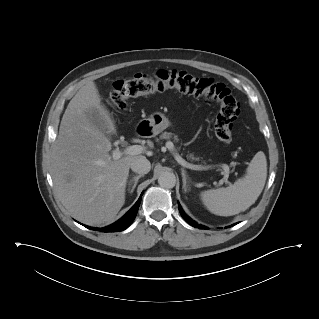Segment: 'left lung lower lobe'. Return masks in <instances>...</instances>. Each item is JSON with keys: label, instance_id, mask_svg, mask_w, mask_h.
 Segmentation results:
<instances>
[{"label": "left lung lower lobe", "instance_id": "1", "mask_svg": "<svg viewBox=\"0 0 319 319\" xmlns=\"http://www.w3.org/2000/svg\"><path fill=\"white\" fill-rule=\"evenodd\" d=\"M179 211L181 216L185 219L186 222H188L190 225L194 226V227H198L199 229H208L207 227L203 226V225H198L195 221H193L191 218H189L184 211L182 210L181 206L179 205ZM233 226V225H232Z\"/></svg>", "mask_w": 319, "mask_h": 319}]
</instances>
